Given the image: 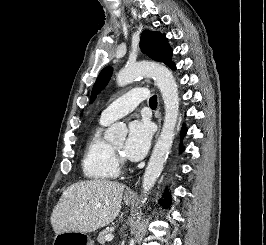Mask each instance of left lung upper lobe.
<instances>
[{
	"label": "left lung upper lobe",
	"mask_w": 266,
	"mask_h": 245,
	"mask_svg": "<svg viewBox=\"0 0 266 245\" xmlns=\"http://www.w3.org/2000/svg\"><path fill=\"white\" fill-rule=\"evenodd\" d=\"M140 48L141 51L144 54L148 55L151 59L164 62L170 67L173 65V62H171L173 51L167 43L165 34L149 30L143 31L141 34ZM111 74V67H106L100 72L92 89L91 102L95 99L96 95L106 86L111 77Z\"/></svg>",
	"instance_id": "obj_1"
}]
</instances>
